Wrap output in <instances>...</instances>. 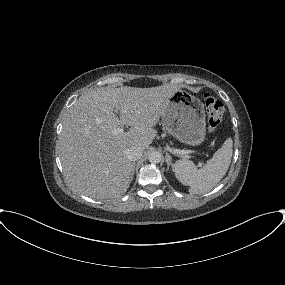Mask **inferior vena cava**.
<instances>
[{"instance_id": "602c4592", "label": "inferior vena cava", "mask_w": 285, "mask_h": 285, "mask_svg": "<svg viewBox=\"0 0 285 285\" xmlns=\"http://www.w3.org/2000/svg\"><path fill=\"white\" fill-rule=\"evenodd\" d=\"M126 155L130 161H137L143 155V150L140 147H131L127 149Z\"/></svg>"}]
</instances>
